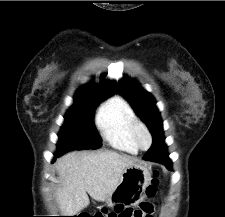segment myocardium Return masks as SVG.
I'll return each mask as SVG.
<instances>
[{"instance_id": "myocardium-1", "label": "myocardium", "mask_w": 225, "mask_h": 217, "mask_svg": "<svg viewBox=\"0 0 225 217\" xmlns=\"http://www.w3.org/2000/svg\"><path fill=\"white\" fill-rule=\"evenodd\" d=\"M142 133L145 134L148 139L147 145H143L140 141V135ZM132 137H133V140H134L135 144L137 145V147L142 150L149 149L153 142V137H152V134H151L149 128L143 122L138 121V120L133 124Z\"/></svg>"}]
</instances>
